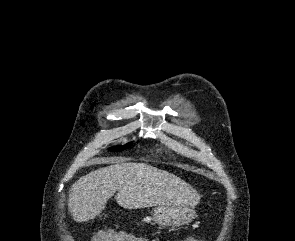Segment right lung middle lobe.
<instances>
[{
    "label": "right lung middle lobe",
    "mask_w": 295,
    "mask_h": 241,
    "mask_svg": "<svg viewBox=\"0 0 295 241\" xmlns=\"http://www.w3.org/2000/svg\"><path fill=\"white\" fill-rule=\"evenodd\" d=\"M131 145V143H128V144H126L125 146H117V147H114V148H111L110 149V151H121V150H123V149H126V148H128L129 146Z\"/></svg>",
    "instance_id": "right-lung-middle-lobe-1"
}]
</instances>
